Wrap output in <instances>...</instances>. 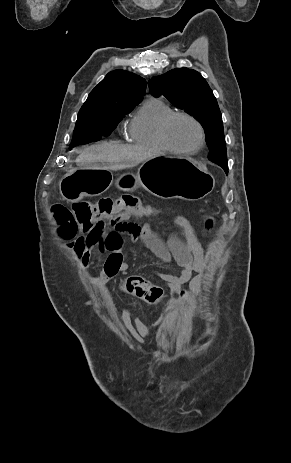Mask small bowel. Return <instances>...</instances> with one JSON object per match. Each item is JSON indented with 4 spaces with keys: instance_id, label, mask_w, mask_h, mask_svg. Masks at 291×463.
<instances>
[{
    "instance_id": "small-bowel-1",
    "label": "small bowel",
    "mask_w": 291,
    "mask_h": 463,
    "mask_svg": "<svg viewBox=\"0 0 291 463\" xmlns=\"http://www.w3.org/2000/svg\"><path fill=\"white\" fill-rule=\"evenodd\" d=\"M135 214L131 210L130 217L119 215L111 229H95L78 237L72 245L75 257L86 266L92 250L97 249L100 253L107 254L100 276L93 281L104 282L130 268V263L123 254V235H129L132 240L140 239L163 264L170 265L175 261L182 268L179 275L161 271H155L153 275L167 285L183 305L195 306V298L204 291L209 274L205 254L192 222L187 216L177 214L174 221L180 228L183 239L171 236L164 242L151 225L140 226L129 221ZM185 285H188L189 292L184 290ZM133 327L138 333L143 331L136 320L133 321Z\"/></svg>"
}]
</instances>
